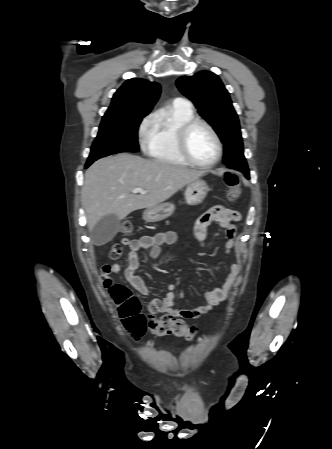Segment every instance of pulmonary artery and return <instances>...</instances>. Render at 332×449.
Instances as JSON below:
<instances>
[{
  "label": "pulmonary artery",
  "mask_w": 332,
  "mask_h": 449,
  "mask_svg": "<svg viewBox=\"0 0 332 449\" xmlns=\"http://www.w3.org/2000/svg\"><path fill=\"white\" fill-rule=\"evenodd\" d=\"M174 103H176V104H182V105H186V106H188V107H191L190 102H188L187 100H185V99H183V98H176V99L174 100Z\"/></svg>",
  "instance_id": "e3ab8cb5"
}]
</instances>
